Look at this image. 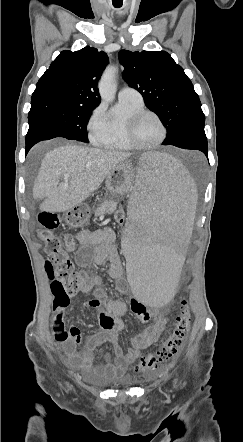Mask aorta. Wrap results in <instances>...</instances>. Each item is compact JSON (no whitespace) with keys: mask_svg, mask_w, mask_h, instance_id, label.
I'll use <instances>...</instances> for the list:
<instances>
[{"mask_svg":"<svg viewBox=\"0 0 243 442\" xmlns=\"http://www.w3.org/2000/svg\"><path fill=\"white\" fill-rule=\"evenodd\" d=\"M116 69L108 68L102 75L99 82V93L103 100L112 101L115 94Z\"/></svg>","mask_w":243,"mask_h":442,"instance_id":"762f6f07","label":"aorta"}]
</instances>
